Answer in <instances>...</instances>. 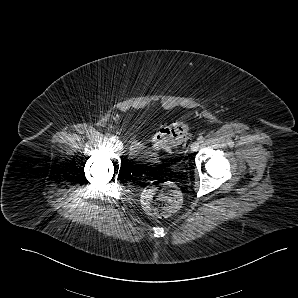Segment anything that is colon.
I'll list each match as a JSON object with an SVG mask.
<instances>
[{"label": "colon", "instance_id": "5ec220e1", "mask_svg": "<svg viewBox=\"0 0 298 298\" xmlns=\"http://www.w3.org/2000/svg\"><path fill=\"white\" fill-rule=\"evenodd\" d=\"M188 136V126L176 121L162 127L152 138L156 150H169L183 144ZM182 204V195L171 181L161 179L152 182L142 194V205L145 211L158 217L175 213Z\"/></svg>", "mask_w": 298, "mask_h": 298}]
</instances>
